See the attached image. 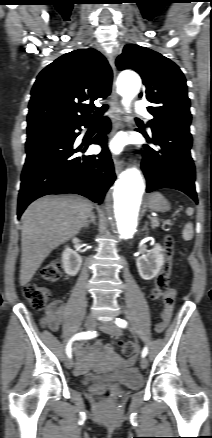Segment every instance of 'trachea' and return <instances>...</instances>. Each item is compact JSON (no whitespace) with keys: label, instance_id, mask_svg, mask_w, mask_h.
<instances>
[{"label":"trachea","instance_id":"obj_1","mask_svg":"<svg viewBox=\"0 0 212 438\" xmlns=\"http://www.w3.org/2000/svg\"><path fill=\"white\" fill-rule=\"evenodd\" d=\"M108 107H109V106H108L107 104H105V105L102 106L101 109L97 110V111L93 114V121H101V120H102V117H103V113H104L105 111H107Z\"/></svg>","mask_w":212,"mask_h":438}]
</instances>
